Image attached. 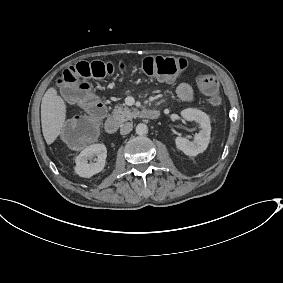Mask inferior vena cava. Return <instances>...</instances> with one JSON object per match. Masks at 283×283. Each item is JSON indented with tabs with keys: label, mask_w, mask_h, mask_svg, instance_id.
Here are the masks:
<instances>
[{
	"label": "inferior vena cava",
	"mask_w": 283,
	"mask_h": 283,
	"mask_svg": "<svg viewBox=\"0 0 283 283\" xmlns=\"http://www.w3.org/2000/svg\"><path fill=\"white\" fill-rule=\"evenodd\" d=\"M133 128V124L130 122H127L125 124L121 125V129H120V134L121 135H126L128 134Z\"/></svg>",
	"instance_id": "602c4592"
}]
</instances>
